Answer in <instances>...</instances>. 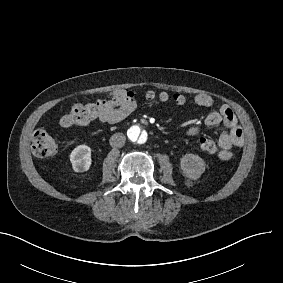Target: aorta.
<instances>
[{"label": "aorta", "mask_w": 283, "mask_h": 283, "mask_svg": "<svg viewBox=\"0 0 283 283\" xmlns=\"http://www.w3.org/2000/svg\"><path fill=\"white\" fill-rule=\"evenodd\" d=\"M127 136L132 143L139 145L145 144L148 140L147 131L137 125H134L128 129Z\"/></svg>", "instance_id": "aorta-1"}]
</instances>
